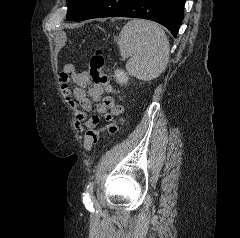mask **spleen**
Listing matches in <instances>:
<instances>
[{"label":"spleen","mask_w":240,"mask_h":238,"mask_svg":"<svg viewBox=\"0 0 240 238\" xmlns=\"http://www.w3.org/2000/svg\"><path fill=\"white\" fill-rule=\"evenodd\" d=\"M122 57H130L126 68L140 80L158 77L169 59V41L164 30L156 23L134 19L121 30L118 39Z\"/></svg>","instance_id":"1"}]
</instances>
